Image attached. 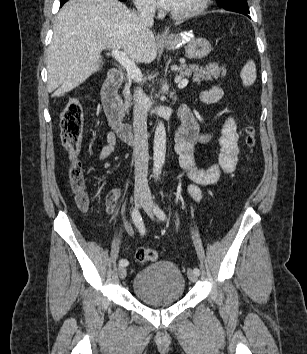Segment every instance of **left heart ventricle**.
Returning <instances> with one entry per match:
<instances>
[{
	"instance_id": "obj_1",
	"label": "left heart ventricle",
	"mask_w": 307,
	"mask_h": 354,
	"mask_svg": "<svg viewBox=\"0 0 307 354\" xmlns=\"http://www.w3.org/2000/svg\"><path fill=\"white\" fill-rule=\"evenodd\" d=\"M197 0H176L173 9L171 10L174 13H182L196 4Z\"/></svg>"
}]
</instances>
